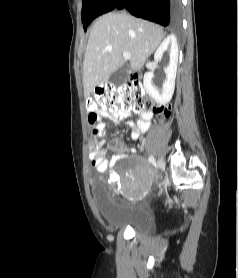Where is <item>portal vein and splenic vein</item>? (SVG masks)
<instances>
[{
    "label": "portal vein and splenic vein",
    "mask_w": 238,
    "mask_h": 278,
    "mask_svg": "<svg viewBox=\"0 0 238 278\" xmlns=\"http://www.w3.org/2000/svg\"><path fill=\"white\" fill-rule=\"evenodd\" d=\"M123 58H124L125 60H130V59H131L130 53H129V52H123Z\"/></svg>",
    "instance_id": "18ae733b"
}]
</instances>
